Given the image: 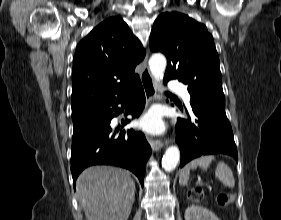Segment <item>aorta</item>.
I'll return each instance as SVG.
<instances>
[{"label":"aorta","instance_id":"obj_1","mask_svg":"<svg viewBox=\"0 0 281 220\" xmlns=\"http://www.w3.org/2000/svg\"><path fill=\"white\" fill-rule=\"evenodd\" d=\"M167 61L164 55L160 53L153 54L149 59V67L152 76L157 82H160L165 72ZM180 160V151L177 147L167 148L162 158V167L165 171H172L178 165Z\"/></svg>","mask_w":281,"mask_h":220}]
</instances>
